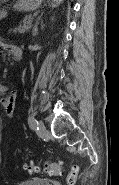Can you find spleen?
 <instances>
[{
    "instance_id": "1",
    "label": "spleen",
    "mask_w": 119,
    "mask_h": 185,
    "mask_svg": "<svg viewBox=\"0 0 119 185\" xmlns=\"http://www.w3.org/2000/svg\"><path fill=\"white\" fill-rule=\"evenodd\" d=\"M52 1L55 3L54 6H57V5H59L63 0H52Z\"/></svg>"
}]
</instances>
